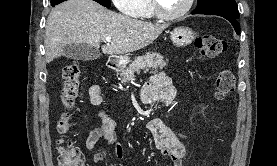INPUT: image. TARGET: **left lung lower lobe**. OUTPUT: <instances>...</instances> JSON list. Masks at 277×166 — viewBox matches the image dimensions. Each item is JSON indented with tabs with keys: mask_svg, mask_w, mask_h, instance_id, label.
Instances as JSON below:
<instances>
[{
	"mask_svg": "<svg viewBox=\"0 0 277 166\" xmlns=\"http://www.w3.org/2000/svg\"><path fill=\"white\" fill-rule=\"evenodd\" d=\"M221 17H224L225 19H227L234 27L235 31L237 34L240 33V26H239V22L237 18L234 17H230V16H225V15H218Z\"/></svg>",
	"mask_w": 277,
	"mask_h": 166,
	"instance_id": "obj_1",
	"label": "left lung lower lobe"
}]
</instances>
